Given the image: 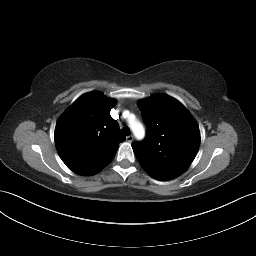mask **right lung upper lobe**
I'll use <instances>...</instances> for the list:
<instances>
[{"instance_id":"cb5924a9","label":"right lung upper lobe","mask_w":256,"mask_h":256,"mask_svg":"<svg viewBox=\"0 0 256 256\" xmlns=\"http://www.w3.org/2000/svg\"><path fill=\"white\" fill-rule=\"evenodd\" d=\"M116 100L94 91L82 95L59 118L55 128L57 151L73 172L92 175L114 158L125 140L110 116Z\"/></svg>"}]
</instances>
